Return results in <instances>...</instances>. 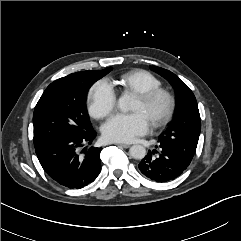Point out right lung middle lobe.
Returning <instances> with one entry per match:
<instances>
[{"mask_svg":"<svg viewBox=\"0 0 241 241\" xmlns=\"http://www.w3.org/2000/svg\"><path fill=\"white\" fill-rule=\"evenodd\" d=\"M111 69L73 73L46 88L33 115L35 149L54 139L92 130L85 108L86 95L92 84Z\"/></svg>","mask_w":241,"mask_h":241,"instance_id":"right-lung-middle-lobe-1","label":"right lung middle lobe"}]
</instances>
